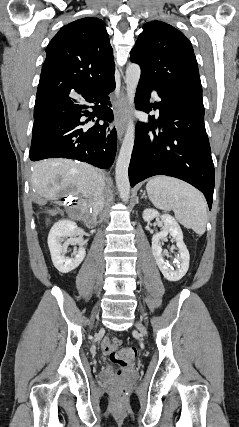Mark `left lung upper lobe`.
<instances>
[{"mask_svg": "<svg viewBox=\"0 0 239 427\" xmlns=\"http://www.w3.org/2000/svg\"><path fill=\"white\" fill-rule=\"evenodd\" d=\"M130 60L141 67V80L202 103L198 64L190 41L173 26L152 21L143 26Z\"/></svg>", "mask_w": 239, "mask_h": 427, "instance_id": "left-lung-upper-lobe-1", "label": "left lung upper lobe"}]
</instances>
